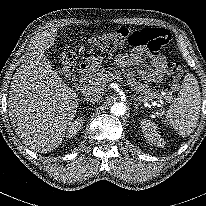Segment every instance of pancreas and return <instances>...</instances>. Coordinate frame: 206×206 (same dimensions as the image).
Segmentation results:
<instances>
[{"mask_svg":"<svg viewBox=\"0 0 206 206\" xmlns=\"http://www.w3.org/2000/svg\"><path fill=\"white\" fill-rule=\"evenodd\" d=\"M118 68L111 67L109 69H102L100 72L94 75V84H106L109 81L117 80L122 81V74H124V78L126 79V83H128L131 87L134 88L137 94L140 95V99L144 101L152 100L153 98H160V94L157 91L149 88L148 85L142 84L135 80L134 73L125 70L126 66L133 65L134 61L128 55H118L115 60Z\"/></svg>","mask_w":206,"mask_h":206,"instance_id":"pancreas-1","label":"pancreas"}]
</instances>
